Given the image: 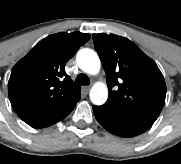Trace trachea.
I'll return each mask as SVG.
<instances>
[{"mask_svg": "<svg viewBox=\"0 0 181 164\" xmlns=\"http://www.w3.org/2000/svg\"><path fill=\"white\" fill-rule=\"evenodd\" d=\"M75 83L79 84V85H89L90 80H89L88 76H86L85 74H79L76 77Z\"/></svg>", "mask_w": 181, "mask_h": 164, "instance_id": "3493384b", "label": "trachea"}]
</instances>
